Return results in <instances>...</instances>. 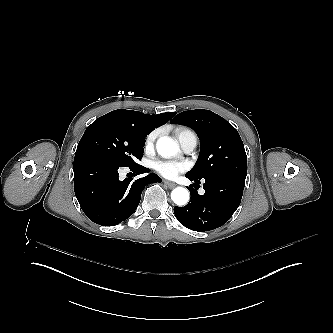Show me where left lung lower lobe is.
<instances>
[{"instance_id":"0a47b994","label":"left lung lower lobe","mask_w":333,"mask_h":333,"mask_svg":"<svg viewBox=\"0 0 333 333\" xmlns=\"http://www.w3.org/2000/svg\"><path fill=\"white\" fill-rule=\"evenodd\" d=\"M198 185L200 181L186 175ZM246 175L236 172L221 173L205 181V193L199 195L198 187H188L191 201L184 207H175L178 221L194 231H208L226 223L240 205ZM199 186V185H198Z\"/></svg>"}]
</instances>
